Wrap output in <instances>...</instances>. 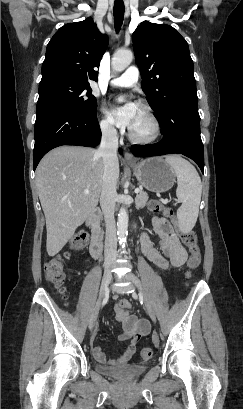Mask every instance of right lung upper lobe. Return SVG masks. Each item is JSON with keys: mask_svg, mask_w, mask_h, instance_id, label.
<instances>
[{"mask_svg": "<svg viewBox=\"0 0 243 409\" xmlns=\"http://www.w3.org/2000/svg\"><path fill=\"white\" fill-rule=\"evenodd\" d=\"M108 46L91 17L62 26L47 45L42 64V79L69 78L89 84L97 81L100 61Z\"/></svg>", "mask_w": 243, "mask_h": 409, "instance_id": "right-lung-upper-lobe-1", "label": "right lung upper lobe"}]
</instances>
